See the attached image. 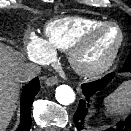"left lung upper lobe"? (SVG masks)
Wrapping results in <instances>:
<instances>
[{"mask_svg": "<svg viewBox=\"0 0 131 131\" xmlns=\"http://www.w3.org/2000/svg\"><path fill=\"white\" fill-rule=\"evenodd\" d=\"M126 66H131V52H130V54H129V56H128L123 67H126Z\"/></svg>", "mask_w": 131, "mask_h": 131, "instance_id": "1", "label": "left lung upper lobe"}]
</instances>
